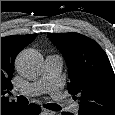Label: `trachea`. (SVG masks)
Here are the masks:
<instances>
[{"label":"trachea","mask_w":115,"mask_h":115,"mask_svg":"<svg viewBox=\"0 0 115 115\" xmlns=\"http://www.w3.org/2000/svg\"><path fill=\"white\" fill-rule=\"evenodd\" d=\"M17 101L19 103H24V104L28 103L27 98L24 97V96H19L17 98ZM44 107L47 108V109H49V110H53V111H59V110L62 109L61 106H59L58 104H53V103L45 104Z\"/></svg>","instance_id":"trachea-1"}]
</instances>
